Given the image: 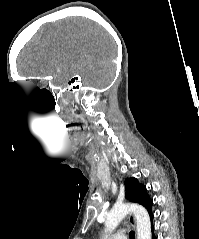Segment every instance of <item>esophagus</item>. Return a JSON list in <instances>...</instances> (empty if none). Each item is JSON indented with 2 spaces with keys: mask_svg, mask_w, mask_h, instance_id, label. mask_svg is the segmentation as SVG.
I'll list each match as a JSON object with an SVG mask.
<instances>
[{
  "mask_svg": "<svg viewBox=\"0 0 199 239\" xmlns=\"http://www.w3.org/2000/svg\"><path fill=\"white\" fill-rule=\"evenodd\" d=\"M129 222H130L131 225H133V226L135 225V218L131 214L129 215Z\"/></svg>",
  "mask_w": 199,
  "mask_h": 239,
  "instance_id": "34e87169",
  "label": "esophagus"
}]
</instances>
